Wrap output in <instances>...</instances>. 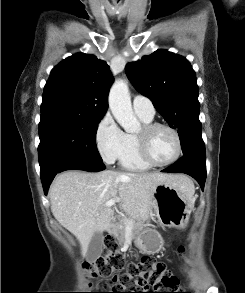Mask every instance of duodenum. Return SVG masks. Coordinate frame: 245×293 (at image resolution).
<instances>
[{"label":"duodenum","mask_w":245,"mask_h":293,"mask_svg":"<svg viewBox=\"0 0 245 293\" xmlns=\"http://www.w3.org/2000/svg\"><path fill=\"white\" fill-rule=\"evenodd\" d=\"M115 230H114V226L113 225H108L107 226V234L108 235H114Z\"/></svg>","instance_id":"obj_1"}]
</instances>
